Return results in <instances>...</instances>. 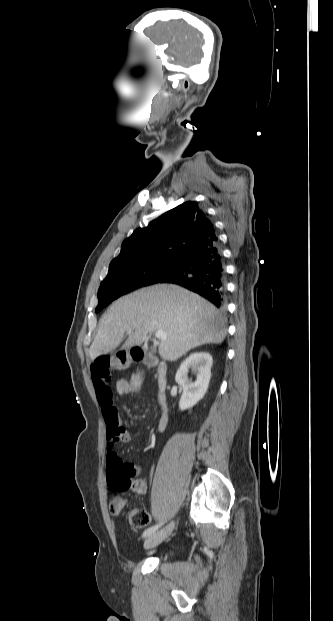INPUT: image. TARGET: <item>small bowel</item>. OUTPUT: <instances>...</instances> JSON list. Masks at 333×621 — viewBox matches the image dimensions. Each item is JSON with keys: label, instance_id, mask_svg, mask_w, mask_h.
Masks as SVG:
<instances>
[{"label": "small bowel", "instance_id": "small-bowel-1", "mask_svg": "<svg viewBox=\"0 0 333 621\" xmlns=\"http://www.w3.org/2000/svg\"><path fill=\"white\" fill-rule=\"evenodd\" d=\"M111 362L112 359L109 354H101L94 359L91 365L92 381L106 424L108 471L118 466L130 468L133 483L131 490L137 494H144L146 492V483L144 480L136 477L140 467L130 462H124L115 450L118 444L129 441L130 434L122 425L114 404L113 391L111 389ZM116 391L118 394H128L126 380H119L116 383ZM117 498L120 497L113 496L111 502Z\"/></svg>", "mask_w": 333, "mask_h": 621}]
</instances>
